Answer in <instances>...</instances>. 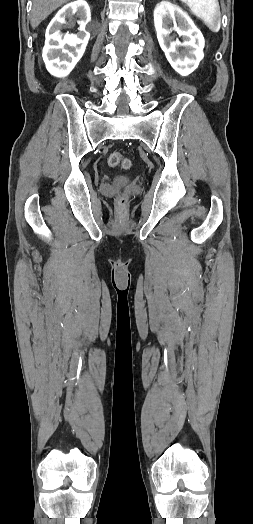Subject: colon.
Here are the masks:
<instances>
[{"label": "colon", "instance_id": "1", "mask_svg": "<svg viewBox=\"0 0 253 524\" xmlns=\"http://www.w3.org/2000/svg\"><path fill=\"white\" fill-rule=\"evenodd\" d=\"M107 163L110 167H122V168H130L131 167V161L128 159H125L122 154L118 151H113L108 155ZM128 197L126 194H121L118 198V205L119 206H125L127 204Z\"/></svg>", "mask_w": 253, "mask_h": 524}]
</instances>
